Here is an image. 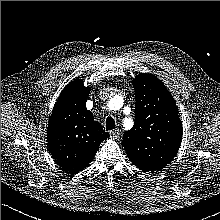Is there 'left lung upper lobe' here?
<instances>
[{"mask_svg": "<svg viewBox=\"0 0 220 220\" xmlns=\"http://www.w3.org/2000/svg\"><path fill=\"white\" fill-rule=\"evenodd\" d=\"M135 124L123 135L130 161L145 172H158L178 152L182 124L176 103L161 80L141 73L133 80Z\"/></svg>", "mask_w": 220, "mask_h": 220, "instance_id": "left-lung-upper-lobe-1", "label": "left lung upper lobe"}]
</instances>
